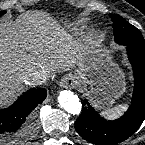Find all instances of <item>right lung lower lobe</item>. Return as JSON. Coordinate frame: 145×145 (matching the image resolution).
<instances>
[{
    "label": "right lung lower lobe",
    "instance_id": "98d812e1",
    "mask_svg": "<svg viewBox=\"0 0 145 145\" xmlns=\"http://www.w3.org/2000/svg\"><path fill=\"white\" fill-rule=\"evenodd\" d=\"M45 89H30L13 105L0 110V134L20 138L30 129L26 119L31 111L46 98Z\"/></svg>",
    "mask_w": 145,
    "mask_h": 145
}]
</instances>
